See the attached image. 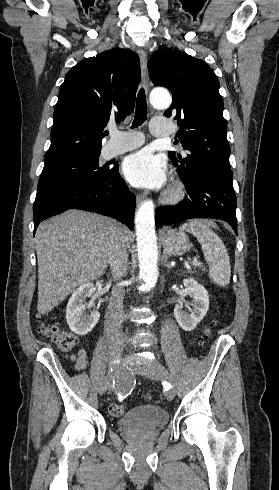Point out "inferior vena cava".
Returning a JSON list of instances; mask_svg holds the SVG:
<instances>
[{
  "instance_id": "602c4592",
  "label": "inferior vena cava",
  "mask_w": 279,
  "mask_h": 490,
  "mask_svg": "<svg viewBox=\"0 0 279 490\" xmlns=\"http://www.w3.org/2000/svg\"><path fill=\"white\" fill-rule=\"evenodd\" d=\"M128 240L122 236L120 230H118L114 240L112 242L110 254L108 256V264H110V270L113 280H122L127 274L128 264ZM125 296V290L123 286H115L111 292L105 322L119 330L122 326L123 318V300Z\"/></svg>"
}]
</instances>
